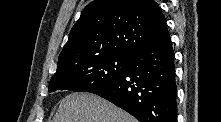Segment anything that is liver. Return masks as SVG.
<instances>
[{"label": "liver", "instance_id": "liver-1", "mask_svg": "<svg viewBox=\"0 0 221 122\" xmlns=\"http://www.w3.org/2000/svg\"><path fill=\"white\" fill-rule=\"evenodd\" d=\"M53 122H136V119L100 96L71 93L60 101Z\"/></svg>", "mask_w": 221, "mask_h": 122}]
</instances>
